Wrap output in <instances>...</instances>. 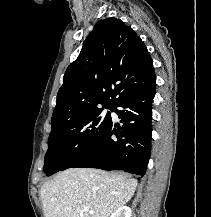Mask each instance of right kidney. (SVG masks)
Returning <instances> with one entry per match:
<instances>
[{"label":"right kidney","mask_w":211,"mask_h":217,"mask_svg":"<svg viewBox=\"0 0 211 217\" xmlns=\"http://www.w3.org/2000/svg\"><path fill=\"white\" fill-rule=\"evenodd\" d=\"M132 210L128 206H121L110 217H131Z\"/></svg>","instance_id":"ca27d5eb"}]
</instances>
